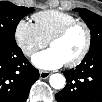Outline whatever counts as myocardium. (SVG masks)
<instances>
[{"label":"myocardium","instance_id":"f54148a6","mask_svg":"<svg viewBox=\"0 0 102 102\" xmlns=\"http://www.w3.org/2000/svg\"><path fill=\"white\" fill-rule=\"evenodd\" d=\"M77 26H81L85 30L86 42H85L84 48L82 49L78 57H76L72 61L64 63L67 67H75L79 65L87 56L91 45V31L89 26L83 21L76 20L74 22L67 24L65 27H63L60 31H58L55 35H53L48 42V45L51 46L52 43L64 38L70 31H72Z\"/></svg>","mask_w":102,"mask_h":102}]
</instances>
